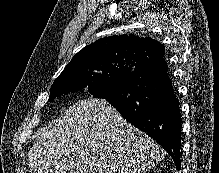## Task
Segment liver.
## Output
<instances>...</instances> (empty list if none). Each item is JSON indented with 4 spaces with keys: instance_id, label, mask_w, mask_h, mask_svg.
<instances>
[{
    "instance_id": "6515ba94",
    "label": "liver",
    "mask_w": 219,
    "mask_h": 173,
    "mask_svg": "<svg viewBox=\"0 0 219 173\" xmlns=\"http://www.w3.org/2000/svg\"><path fill=\"white\" fill-rule=\"evenodd\" d=\"M163 157L111 104L91 97L37 133L28 166L30 173H146Z\"/></svg>"
}]
</instances>
